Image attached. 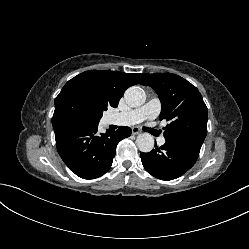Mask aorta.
<instances>
[{"label":"aorta","instance_id":"aorta-1","mask_svg":"<svg viewBox=\"0 0 249 249\" xmlns=\"http://www.w3.org/2000/svg\"><path fill=\"white\" fill-rule=\"evenodd\" d=\"M126 103L131 107H139L144 104L146 94L143 89L137 86L128 88L124 93ZM136 145L141 152H150L154 147V139L148 134H140L136 139Z\"/></svg>","mask_w":249,"mask_h":249}]
</instances>
